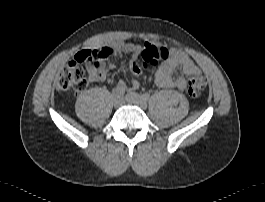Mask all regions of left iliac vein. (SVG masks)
I'll return each mask as SVG.
<instances>
[{"label": "left iliac vein", "instance_id": "1", "mask_svg": "<svg viewBox=\"0 0 265 202\" xmlns=\"http://www.w3.org/2000/svg\"><path fill=\"white\" fill-rule=\"evenodd\" d=\"M126 101L129 104L135 105L141 109H145L147 107V102L139 94H137L133 91L127 92Z\"/></svg>", "mask_w": 265, "mask_h": 202}]
</instances>
